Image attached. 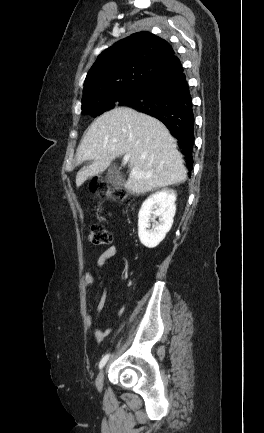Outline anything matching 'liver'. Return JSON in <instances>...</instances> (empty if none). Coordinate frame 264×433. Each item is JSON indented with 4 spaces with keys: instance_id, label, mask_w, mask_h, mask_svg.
Wrapping results in <instances>:
<instances>
[{
    "instance_id": "liver-1",
    "label": "liver",
    "mask_w": 264,
    "mask_h": 433,
    "mask_svg": "<svg viewBox=\"0 0 264 433\" xmlns=\"http://www.w3.org/2000/svg\"><path fill=\"white\" fill-rule=\"evenodd\" d=\"M129 155V176L125 188L135 194L180 184L187 179L175 140L157 119L131 108L118 107L98 117L79 145L77 163L92 164L76 175L80 187L91 176L103 173L118 156Z\"/></svg>"
}]
</instances>
